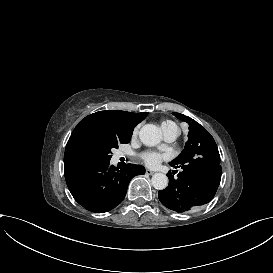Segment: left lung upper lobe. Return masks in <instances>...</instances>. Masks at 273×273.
I'll return each mask as SVG.
<instances>
[{
  "label": "left lung upper lobe",
  "mask_w": 273,
  "mask_h": 273,
  "mask_svg": "<svg viewBox=\"0 0 273 273\" xmlns=\"http://www.w3.org/2000/svg\"><path fill=\"white\" fill-rule=\"evenodd\" d=\"M173 115L189 124V134L184 150L170 163L179 164L199 157L220 162L216 142L210 133L190 117L180 113H173Z\"/></svg>",
  "instance_id": "left-lung-upper-lobe-1"
}]
</instances>
